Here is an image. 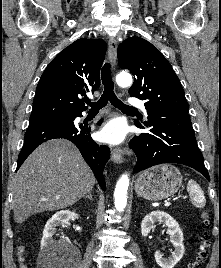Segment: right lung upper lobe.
<instances>
[{"label": "right lung upper lobe", "instance_id": "obj_1", "mask_svg": "<svg viewBox=\"0 0 221 268\" xmlns=\"http://www.w3.org/2000/svg\"><path fill=\"white\" fill-rule=\"evenodd\" d=\"M105 53L101 39L81 38L62 50L40 78L30 122L81 116L87 107L80 97L100 86Z\"/></svg>", "mask_w": 221, "mask_h": 268}]
</instances>
